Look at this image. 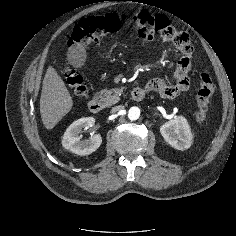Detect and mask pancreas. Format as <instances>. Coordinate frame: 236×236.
I'll return each instance as SVG.
<instances>
[{
	"instance_id": "obj_1",
	"label": "pancreas",
	"mask_w": 236,
	"mask_h": 236,
	"mask_svg": "<svg viewBox=\"0 0 236 236\" xmlns=\"http://www.w3.org/2000/svg\"><path fill=\"white\" fill-rule=\"evenodd\" d=\"M123 89L114 88V89H104L96 94V98L105 104V106H111L119 101L120 95L122 94Z\"/></svg>"
}]
</instances>
